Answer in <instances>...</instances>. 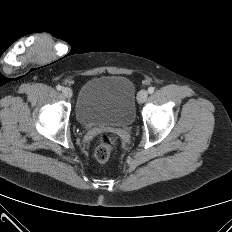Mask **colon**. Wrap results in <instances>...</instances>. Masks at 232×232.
Masks as SVG:
<instances>
[{"mask_svg":"<svg viewBox=\"0 0 232 232\" xmlns=\"http://www.w3.org/2000/svg\"><path fill=\"white\" fill-rule=\"evenodd\" d=\"M115 138L110 134H102L99 137L94 155L97 161L106 162L110 159L115 149Z\"/></svg>","mask_w":232,"mask_h":232,"instance_id":"1","label":"colon"}]
</instances>
